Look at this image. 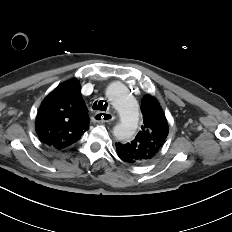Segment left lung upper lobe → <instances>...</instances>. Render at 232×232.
Returning <instances> with one entry per match:
<instances>
[{"label": "left lung upper lobe", "mask_w": 232, "mask_h": 232, "mask_svg": "<svg viewBox=\"0 0 232 232\" xmlns=\"http://www.w3.org/2000/svg\"><path fill=\"white\" fill-rule=\"evenodd\" d=\"M143 125L134 140L126 144L116 143V150L129 158L132 164L151 161L164 144L168 135V124L157 100L150 95L142 99Z\"/></svg>", "instance_id": "1"}]
</instances>
